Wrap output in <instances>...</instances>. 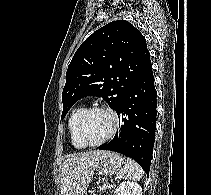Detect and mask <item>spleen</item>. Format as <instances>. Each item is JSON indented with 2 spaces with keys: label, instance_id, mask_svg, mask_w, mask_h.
Masks as SVG:
<instances>
[{
  "label": "spleen",
  "instance_id": "1",
  "mask_svg": "<svg viewBox=\"0 0 211 195\" xmlns=\"http://www.w3.org/2000/svg\"><path fill=\"white\" fill-rule=\"evenodd\" d=\"M142 175V168L135 161L127 158L125 166L120 171V177L124 179L139 181L142 178Z\"/></svg>",
  "mask_w": 211,
  "mask_h": 195
}]
</instances>
